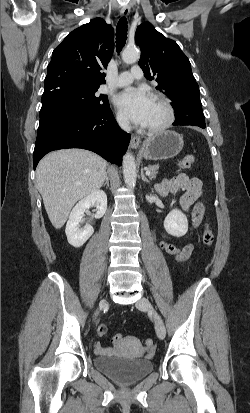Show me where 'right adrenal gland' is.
I'll return each mask as SVG.
<instances>
[{
  "label": "right adrenal gland",
  "instance_id": "obj_1",
  "mask_svg": "<svg viewBox=\"0 0 250 413\" xmlns=\"http://www.w3.org/2000/svg\"><path fill=\"white\" fill-rule=\"evenodd\" d=\"M104 186H107V188L109 187V178H108V174L106 173V176H105V182H104V184H103V187Z\"/></svg>",
  "mask_w": 250,
  "mask_h": 413
}]
</instances>
